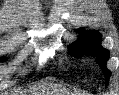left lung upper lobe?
Instances as JSON below:
<instances>
[{
    "instance_id": "left-lung-upper-lobe-1",
    "label": "left lung upper lobe",
    "mask_w": 119,
    "mask_h": 95,
    "mask_svg": "<svg viewBox=\"0 0 119 95\" xmlns=\"http://www.w3.org/2000/svg\"><path fill=\"white\" fill-rule=\"evenodd\" d=\"M69 53L75 56L87 54L95 57L107 79L106 84L108 83L111 75V72L106 68L109 51L101 46L99 32L82 30L79 39L69 46Z\"/></svg>"
}]
</instances>
